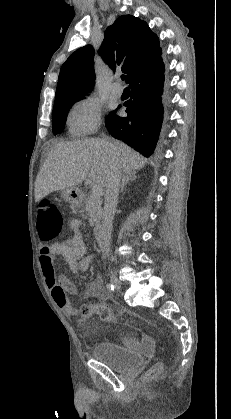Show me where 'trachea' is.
<instances>
[{
	"label": "trachea",
	"mask_w": 231,
	"mask_h": 419,
	"mask_svg": "<svg viewBox=\"0 0 231 419\" xmlns=\"http://www.w3.org/2000/svg\"><path fill=\"white\" fill-rule=\"evenodd\" d=\"M121 79H122V80H124V79H125V75H122V76H121Z\"/></svg>",
	"instance_id": "3493384b"
}]
</instances>
